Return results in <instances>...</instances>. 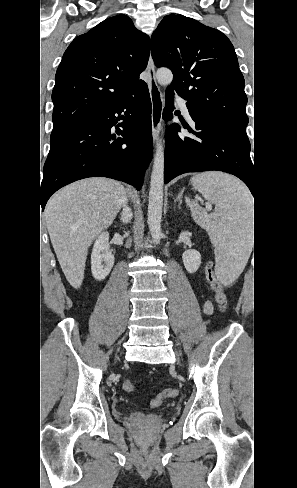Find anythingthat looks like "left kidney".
Here are the masks:
<instances>
[{"mask_svg": "<svg viewBox=\"0 0 297 488\" xmlns=\"http://www.w3.org/2000/svg\"><path fill=\"white\" fill-rule=\"evenodd\" d=\"M182 260L189 273L196 272L201 265V255L197 250H186L182 254Z\"/></svg>", "mask_w": 297, "mask_h": 488, "instance_id": "5707ae66", "label": "left kidney"}]
</instances>
